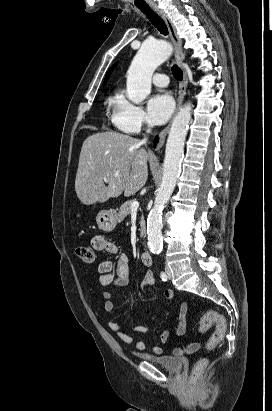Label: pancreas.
Listing matches in <instances>:
<instances>
[{
	"label": "pancreas",
	"mask_w": 272,
	"mask_h": 411,
	"mask_svg": "<svg viewBox=\"0 0 272 411\" xmlns=\"http://www.w3.org/2000/svg\"><path fill=\"white\" fill-rule=\"evenodd\" d=\"M132 200L126 201L124 204L119 209L118 212V220H123L125 217H127L130 212H131V204ZM143 224H144V219L143 216L141 217V230H143Z\"/></svg>",
	"instance_id": "cf45deb5"
}]
</instances>
